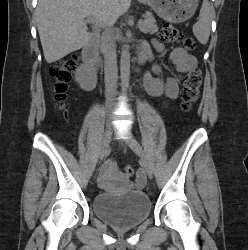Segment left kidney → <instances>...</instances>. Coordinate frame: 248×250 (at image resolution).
<instances>
[{"label":"left kidney","mask_w":248,"mask_h":250,"mask_svg":"<svg viewBox=\"0 0 248 250\" xmlns=\"http://www.w3.org/2000/svg\"><path fill=\"white\" fill-rule=\"evenodd\" d=\"M162 88H163V84L162 83H158V89L162 90Z\"/></svg>","instance_id":"5707ae66"}]
</instances>
